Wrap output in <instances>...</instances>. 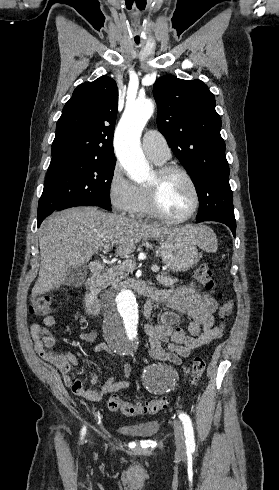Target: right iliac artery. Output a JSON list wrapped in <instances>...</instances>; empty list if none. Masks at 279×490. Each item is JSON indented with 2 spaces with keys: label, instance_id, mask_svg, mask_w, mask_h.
I'll list each match as a JSON object with an SVG mask.
<instances>
[{
  "label": "right iliac artery",
  "instance_id": "82829eb1",
  "mask_svg": "<svg viewBox=\"0 0 279 490\" xmlns=\"http://www.w3.org/2000/svg\"><path fill=\"white\" fill-rule=\"evenodd\" d=\"M85 433H86V428L84 427V428L82 429V436H83Z\"/></svg>",
  "mask_w": 279,
  "mask_h": 490
}]
</instances>
